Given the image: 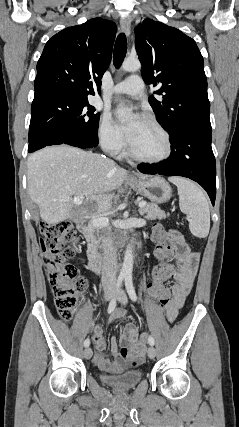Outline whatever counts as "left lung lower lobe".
Segmentation results:
<instances>
[{"label":"left lung lower lobe","instance_id":"0a47b994","mask_svg":"<svg viewBox=\"0 0 239 427\" xmlns=\"http://www.w3.org/2000/svg\"><path fill=\"white\" fill-rule=\"evenodd\" d=\"M211 126L184 125L170 134V157L158 164L138 165L144 174L183 176L199 183L212 204L216 197V162L211 147Z\"/></svg>","mask_w":239,"mask_h":427}]
</instances>
